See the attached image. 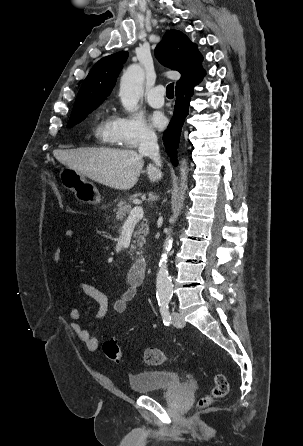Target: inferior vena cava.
<instances>
[{
    "label": "inferior vena cava",
    "instance_id": "602c4592",
    "mask_svg": "<svg viewBox=\"0 0 303 446\" xmlns=\"http://www.w3.org/2000/svg\"><path fill=\"white\" fill-rule=\"evenodd\" d=\"M139 154L150 157L157 166H161L159 146L154 133H147L143 136L139 146Z\"/></svg>",
    "mask_w": 303,
    "mask_h": 446
}]
</instances>
